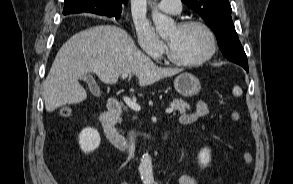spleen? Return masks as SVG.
I'll use <instances>...</instances> for the list:
<instances>
[{
    "instance_id": "3e777b00",
    "label": "spleen",
    "mask_w": 293,
    "mask_h": 184,
    "mask_svg": "<svg viewBox=\"0 0 293 184\" xmlns=\"http://www.w3.org/2000/svg\"><path fill=\"white\" fill-rule=\"evenodd\" d=\"M232 92H233V95L234 96H241L242 95V89L239 87V86H235L234 88H233V90H232Z\"/></svg>"
}]
</instances>
